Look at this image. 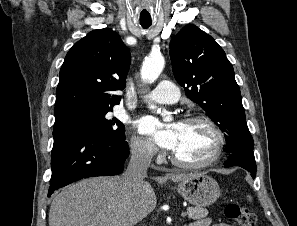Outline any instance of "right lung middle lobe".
<instances>
[{
  "label": "right lung middle lobe",
  "instance_id": "obj_1",
  "mask_svg": "<svg viewBox=\"0 0 297 226\" xmlns=\"http://www.w3.org/2000/svg\"><path fill=\"white\" fill-rule=\"evenodd\" d=\"M109 111L111 109L79 112L55 121L54 127H82L111 139H125L124 125L115 117L109 119L107 117Z\"/></svg>",
  "mask_w": 297,
  "mask_h": 226
}]
</instances>
